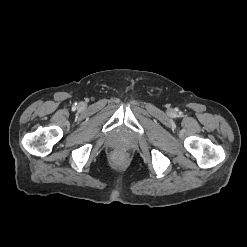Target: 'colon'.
I'll use <instances>...</instances> for the list:
<instances>
[{"instance_id": "5ec220e1", "label": "colon", "mask_w": 247, "mask_h": 247, "mask_svg": "<svg viewBox=\"0 0 247 247\" xmlns=\"http://www.w3.org/2000/svg\"><path fill=\"white\" fill-rule=\"evenodd\" d=\"M122 160H123V156L120 154V153H115L114 155H113V161L115 162V163H121L122 162Z\"/></svg>"}]
</instances>
